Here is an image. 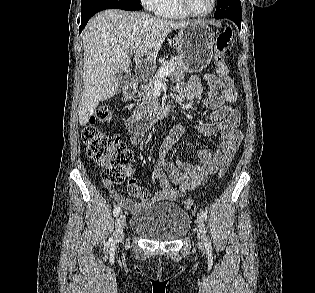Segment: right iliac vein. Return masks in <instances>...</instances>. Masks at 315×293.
Wrapping results in <instances>:
<instances>
[{"label": "right iliac vein", "mask_w": 315, "mask_h": 293, "mask_svg": "<svg viewBox=\"0 0 315 293\" xmlns=\"http://www.w3.org/2000/svg\"><path fill=\"white\" fill-rule=\"evenodd\" d=\"M125 222H126L125 215L123 213L118 214L115 221V244L116 245L122 242L124 239Z\"/></svg>", "instance_id": "obj_1"}]
</instances>
